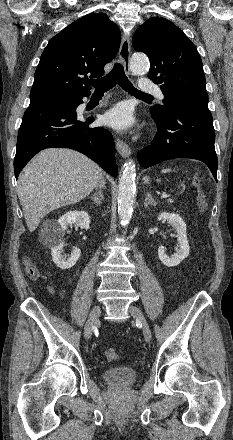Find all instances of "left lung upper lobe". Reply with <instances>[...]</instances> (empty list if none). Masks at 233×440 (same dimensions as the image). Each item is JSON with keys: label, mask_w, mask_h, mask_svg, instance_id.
<instances>
[{"label": "left lung upper lobe", "mask_w": 233, "mask_h": 440, "mask_svg": "<svg viewBox=\"0 0 233 440\" xmlns=\"http://www.w3.org/2000/svg\"><path fill=\"white\" fill-rule=\"evenodd\" d=\"M132 45L147 54L150 60L148 77L164 94V105L150 110L164 116L178 102H198L208 105L202 61L194 44L172 22L165 18H150L135 32Z\"/></svg>", "instance_id": "left-lung-upper-lobe-1"}]
</instances>
